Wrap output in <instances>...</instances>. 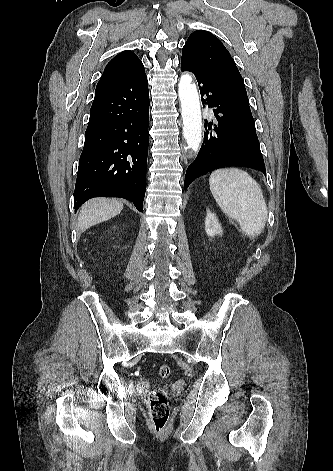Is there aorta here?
<instances>
[{
  "label": "aorta",
  "instance_id": "aorta-1",
  "mask_svg": "<svg viewBox=\"0 0 333 471\" xmlns=\"http://www.w3.org/2000/svg\"><path fill=\"white\" fill-rule=\"evenodd\" d=\"M182 108L183 136L188 148L196 152L202 138V117L196 85L189 74H183L178 84Z\"/></svg>",
  "mask_w": 333,
  "mask_h": 471
}]
</instances>
